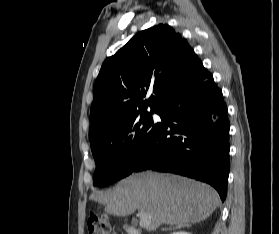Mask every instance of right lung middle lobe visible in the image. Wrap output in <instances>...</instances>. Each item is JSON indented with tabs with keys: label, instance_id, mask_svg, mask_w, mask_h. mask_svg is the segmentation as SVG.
I'll return each instance as SVG.
<instances>
[{
	"label": "right lung middle lobe",
	"instance_id": "dd1d6c3e",
	"mask_svg": "<svg viewBox=\"0 0 279 234\" xmlns=\"http://www.w3.org/2000/svg\"><path fill=\"white\" fill-rule=\"evenodd\" d=\"M153 108L141 110L126 118L116 129L90 144L96 170L94 186L104 187L131 174L152 138L156 124L151 118Z\"/></svg>",
	"mask_w": 279,
	"mask_h": 234
}]
</instances>
